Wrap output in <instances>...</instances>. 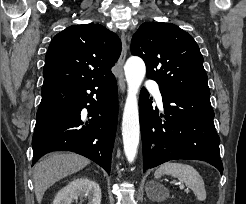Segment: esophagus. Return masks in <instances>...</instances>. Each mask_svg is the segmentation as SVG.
<instances>
[{
	"label": "esophagus",
	"mask_w": 246,
	"mask_h": 204,
	"mask_svg": "<svg viewBox=\"0 0 246 204\" xmlns=\"http://www.w3.org/2000/svg\"><path fill=\"white\" fill-rule=\"evenodd\" d=\"M121 42H122V50H121V54L117 62V67L119 70L118 86H119L121 93H124L125 92V80L123 76V65L125 62L126 54H127V42H126V36L124 33L121 34Z\"/></svg>",
	"instance_id": "obj_1"
}]
</instances>
